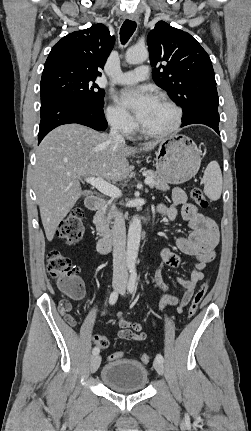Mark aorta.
<instances>
[{
  "instance_id": "aorta-1",
  "label": "aorta",
  "mask_w": 251,
  "mask_h": 431,
  "mask_svg": "<svg viewBox=\"0 0 251 431\" xmlns=\"http://www.w3.org/2000/svg\"><path fill=\"white\" fill-rule=\"evenodd\" d=\"M148 50L144 47H131L127 50L125 59L129 64H138L144 62L148 58ZM141 220L138 216H134L130 222L128 229L126 264L127 267L134 270L138 256L140 239H141Z\"/></svg>"
}]
</instances>
